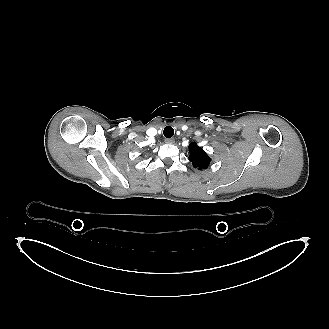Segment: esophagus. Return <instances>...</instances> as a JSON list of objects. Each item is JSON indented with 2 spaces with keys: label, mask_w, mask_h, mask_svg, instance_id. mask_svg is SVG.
I'll list each match as a JSON object with an SVG mask.
<instances>
[{
  "label": "esophagus",
  "mask_w": 329,
  "mask_h": 329,
  "mask_svg": "<svg viewBox=\"0 0 329 329\" xmlns=\"http://www.w3.org/2000/svg\"><path fill=\"white\" fill-rule=\"evenodd\" d=\"M175 141H174V139L173 138H167V139H165V143H167V144H173Z\"/></svg>",
  "instance_id": "obj_1"
}]
</instances>
